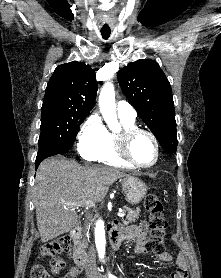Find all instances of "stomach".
Masks as SVG:
<instances>
[{"label":"stomach","instance_id":"1","mask_svg":"<svg viewBox=\"0 0 221 278\" xmlns=\"http://www.w3.org/2000/svg\"><path fill=\"white\" fill-rule=\"evenodd\" d=\"M128 203L136 205L142 201L147 194V186L137 177H123L120 179Z\"/></svg>","mask_w":221,"mask_h":278}]
</instances>
